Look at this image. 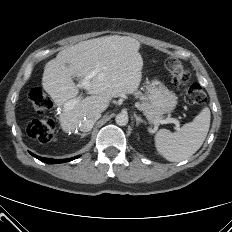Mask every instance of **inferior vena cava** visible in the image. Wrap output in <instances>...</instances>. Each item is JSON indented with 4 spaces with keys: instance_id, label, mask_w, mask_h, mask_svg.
I'll return each instance as SVG.
<instances>
[{
    "instance_id": "obj_1",
    "label": "inferior vena cava",
    "mask_w": 232,
    "mask_h": 232,
    "mask_svg": "<svg viewBox=\"0 0 232 232\" xmlns=\"http://www.w3.org/2000/svg\"><path fill=\"white\" fill-rule=\"evenodd\" d=\"M101 117L100 113H93L85 117L79 126V129L83 132H88L93 128L94 123Z\"/></svg>"
}]
</instances>
